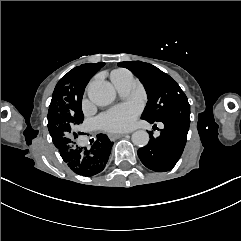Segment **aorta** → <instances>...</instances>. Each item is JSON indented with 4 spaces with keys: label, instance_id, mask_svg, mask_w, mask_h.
Listing matches in <instances>:
<instances>
[{
    "label": "aorta",
    "instance_id": "aorta-1",
    "mask_svg": "<svg viewBox=\"0 0 241 241\" xmlns=\"http://www.w3.org/2000/svg\"><path fill=\"white\" fill-rule=\"evenodd\" d=\"M89 99L98 106L111 104L116 97V91L111 83L104 80H95L88 87ZM149 134L145 130H138L132 134L134 145L144 147L149 142Z\"/></svg>",
    "mask_w": 241,
    "mask_h": 241
}]
</instances>
